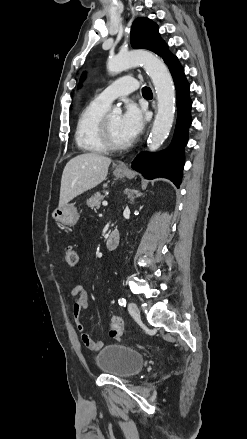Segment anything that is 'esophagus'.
<instances>
[{
    "label": "esophagus",
    "instance_id": "34e87169",
    "mask_svg": "<svg viewBox=\"0 0 247 439\" xmlns=\"http://www.w3.org/2000/svg\"><path fill=\"white\" fill-rule=\"evenodd\" d=\"M153 105L156 106V101H155V99L153 100ZM117 168H118V169H128V165H127V163H125V162H119V163L117 164Z\"/></svg>",
    "mask_w": 247,
    "mask_h": 439
}]
</instances>
